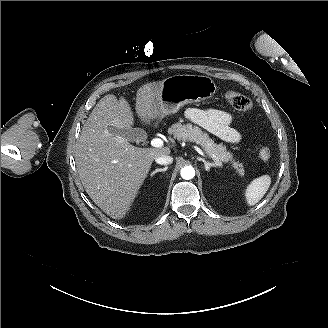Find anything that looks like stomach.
Here are the masks:
<instances>
[{
  "label": "stomach",
  "instance_id": "1",
  "mask_svg": "<svg viewBox=\"0 0 328 328\" xmlns=\"http://www.w3.org/2000/svg\"><path fill=\"white\" fill-rule=\"evenodd\" d=\"M217 85L209 76L174 75L162 81L156 116L176 113L182 105L212 98Z\"/></svg>",
  "mask_w": 328,
  "mask_h": 328
}]
</instances>
